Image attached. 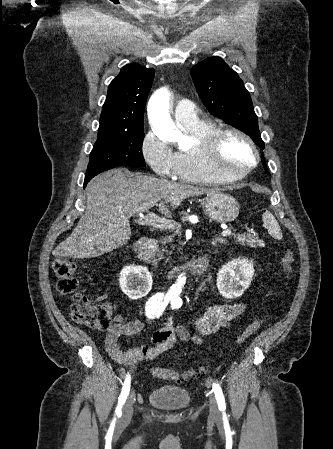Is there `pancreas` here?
Returning a JSON list of instances; mask_svg holds the SVG:
<instances>
[{
  "label": "pancreas",
  "mask_w": 333,
  "mask_h": 449,
  "mask_svg": "<svg viewBox=\"0 0 333 449\" xmlns=\"http://www.w3.org/2000/svg\"><path fill=\"white\" fill-rule=\"evenodd\" d=\"M236 238V242L241 244L242 246H251L253 248H257L262 245V241L258 239L257 236L249 233H240L234 235Z\"/></svg>",
  "instance_id": "cf45deb5"
}]
</instances>
